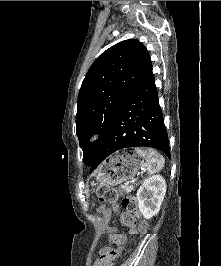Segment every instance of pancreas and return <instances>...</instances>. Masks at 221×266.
Segmentation results:
<instances>
[{
	"label": "pancreas",
	"instance_id": "pancreas-1",
	"mask_svg": "<svg viewBox=\"0 0 221 266\" xmlns=\"http://www.w3.org/2000/svg\"><path fill=\"white\" fill-rule=\"evenodd\" d=\"M120 189L122 191H124L125 193H128V192H130L133 189V187L127 186V185H122V186H120Z\"/></svg>",
	"mask_w": 221,
	"mask_h": 266
}]
</instances>
